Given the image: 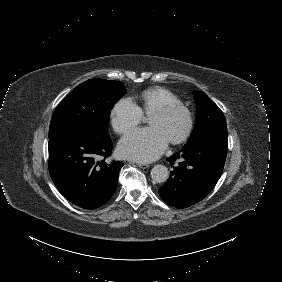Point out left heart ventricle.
I'll return each instance as SVG.
<instances>
[{
    "mask_svg": "<svg viewBox=\"0 0 282 282\" xmlns=\"http://www.w3.org/2000/svg\"><path fill=\"white\" fill-rule=\"evenodd\" d=\"M148 122L152 127H159L169 140L177 136L184 126L183 116L178 113L170 116L151 115Z\"/></svg>",
    "mask_w": 282,
    "mask_h": 282,
    "instance_id": "1",
    "label": "left heart ventricle"
}]
</instances>
